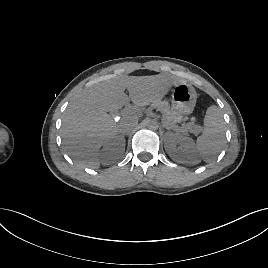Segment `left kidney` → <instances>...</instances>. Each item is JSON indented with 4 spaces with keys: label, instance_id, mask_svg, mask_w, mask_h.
<instances>
[{
    "label": "left kidney",
    "instance_id": "obj_1",
    "mask_svg": "<svg viewBox=\"0 0 268 268\" xmlns=\"http://www.w3.org/2000/svg\"><path fill=\"white\" fill-rule=\"evenodd\" d=\"M164 147L170 158L175 161L186 164L200 162L194 141L189 137L179 133H167Z\"/></svg>",
    "mask_w": 268,
    "mask_h": 268
}]
</instances>
